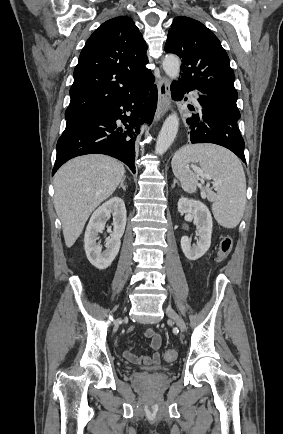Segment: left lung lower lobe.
I'll return each mask as SVG.
<instances>
[{
	"instance_id": "0a47b994",
	"label": "left lung lower lobe",
	"mask_w": 283,
	"mask_h": 434,
	"mask_svg": "<svg viewBox=\"0 0 283 434\" xmlns=\"http://www.w3.org/2000/svg\"><path fill=\"white\" fill-rule=\"evenodd\" d=\"M195 90L181 82L171 85L172 97L182 99L190 91ZM199 107L189 108L191 116L186 119L190 130L191 143H214L228 148L243 162L244 140L237 126L240 112L237 107L211 98L198 92Z\"/></svg>"
}]
</instances>
